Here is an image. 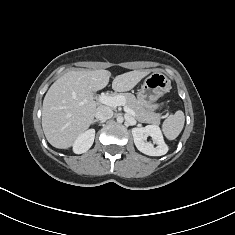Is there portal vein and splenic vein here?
<instances>
[{"label":"portal vein and splenic vein","mask_w":235,"mask_h":235,"mask_svg":"<svg viewBox=\"0 0 235 235\" xmlns=\"http://www.w3.org/2000/svg\"><path fill=\"white\" fill-rule=\"evenodd\" d=\"M99 101L105 105L111 106V107H117V106H124V111L132 116H135L134 110L129 108L125 105V98L121 95L117 96H107V95H100Z\"/></svg>","instance_id":"portal-vein-and-splenic-vein-1"}]
</instances>
